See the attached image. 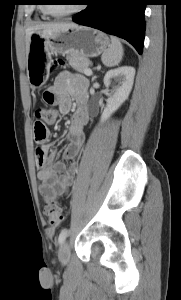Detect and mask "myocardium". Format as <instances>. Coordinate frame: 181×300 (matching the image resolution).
I'll return each mask as SVG.
<instances>
[{"mask_svg":"<svg viewBox=\"0 0 181 300\" xmlns=\"http://www.w3.org/2000/svg\"><path fill=\"white\" fill-rule=\"evenodd\" d=\"M44 9L48 15H50L54 18H63V17L71 16L79 11V8L77 7V8H73L72 10L67 11V12L58 13L52 9L50 4H45Z\"/></svg>","mask_w":181,"mask_h":300,"instance_id":"f54148a6","label":"myocardium"}]
</instances>
